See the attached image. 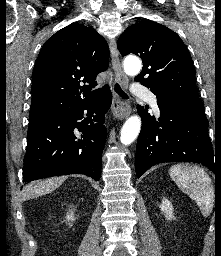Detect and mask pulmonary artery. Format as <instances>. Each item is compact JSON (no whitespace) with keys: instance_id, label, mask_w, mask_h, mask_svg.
Here are the masks:
<instances>
[{"instance_id":"pulmonary-artery-1","label":"pulmonary artery","mask_w":221,"mask_h":256,"mask_svg":"<svg viewBox=\"0 0 221 256\" xmlns=\"http://www.w3.org/2000/svg\"><path fill=\"white\" fill-rule=\"evenodd\" d=\"M132 92L139 97L145 98L148 100V102L151 104L154 110L158 111V104H157V99L156 96L148 90L146 87L140 85V84H135L132 87Z\"/></svg>"}]
</instances>
